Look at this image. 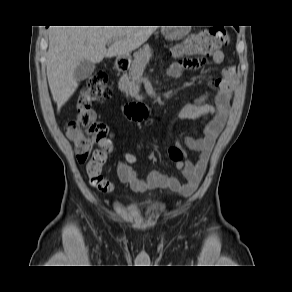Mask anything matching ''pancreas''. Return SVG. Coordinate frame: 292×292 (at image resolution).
Instances as JSON below:
<instances>
[{
	"mask_svg": "<svg viewBox=\"0 0 292 292\" xmlns=\"http://www.w3.org/2000/svg\"><path fill=\"white\" fill-rule=\"evenodd\" d=\"M151 57L152 52L149 45L143 46L135 53L129 74H124L119 80V89L127 96L136 97L138 95L143 72Z\"/></svg>",
	"mask_w": 292,
	"mask_h": 292,
	"instance_id": "obj_1",
	"label": "pancreas"
}]
</instances>
